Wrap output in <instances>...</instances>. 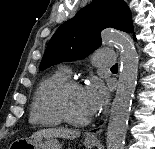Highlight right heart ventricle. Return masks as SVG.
<instances>
[{"mask_svg": "<svg viewBox=\"0 0 155 149\" xmlns=\"http://www.w3.org/2000/svg\"><path fill=\"white\" fill-rule=\"evenodd\" d=\"M68 79L63 70L45 76L37 85L30 105L29 121L42 127H56L62 123L54 110L52 95L56 87Z\"/></svg>", "mask_w": 155, "mask_h": 149, "instance_id": "e07e8e85", "label": "right heart ventricle"}]
</instances>
